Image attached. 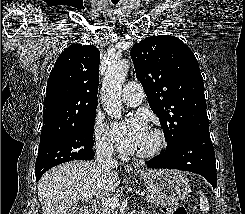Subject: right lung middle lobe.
Wrapping results in <instances>:
<instances>
[{
	"label": "right lung middle lobe",
	"instance_id": "right-lung-middle-lobe-1",
	"mask_svg": "<svg viewBox=\"0 0 245 214\" xmlns=\"http://www.w3.org/2000/svg\"><path fill=\"white\" fill-rule=\"evenodd\" d=\"M95 116L96 110H93L75 124L41 135L35 173H44L58 164L72 160L92 159Z\"/></svg>",
	"mask_w": 245,
	"mask_h": 214
}]
</instances>
